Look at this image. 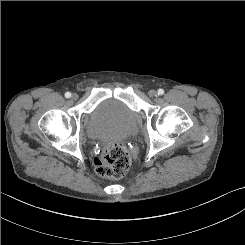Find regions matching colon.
I'll use <instances>...</instances> for the list:
<instances>
[{
  "label": "colon",
  "mask_w": 245,
  "mask_h": 245,
  "mask_svg": "<svg viewBox=\"0 0 245 245\" xmlns=\"http://www.w3.org/2000/svg\"><path fill=\"white\" fill-rule=\"evenodd\" d=\"M96 172L107 178H121L130 168L131 158L124 145L112 143L94 159Z\"/></svg>",
  "instance_id": "obj_1"
}]
</instances>
